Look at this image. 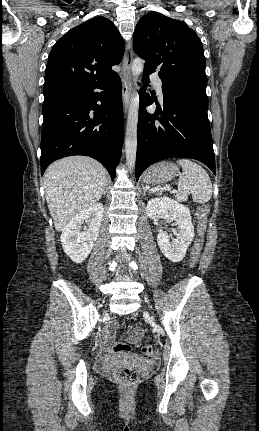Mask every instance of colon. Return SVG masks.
I'll use <instances>...</instances> for the list:
<instances>
[{"mask_svg": "<svg viewBox=\"0 0 259 431\" xmlns=\"http://www.w3.org/2000/svg\"><path fill=\"white\" fill-rule=\"evenodd\" d=\"M210 211V205L205 203L201 204L197 207V238L193 244L191 257H190V266L195 268L198 264L200 252L203 244V235L205 229L207 227V214ZM131 350L130 345L124 343H116L112 347V351L115 353H125ZM142 354L148 358H151L155 354V350L151 345H145L141 349ZM113 377L117 382L124 386H132L140 378V373L137 369L118 366L113 369Z\"/></svg>", "mask_w": 259, "mask_h": 431, "instance_id": "obj_1", "label": "colon"}]
</instances>
